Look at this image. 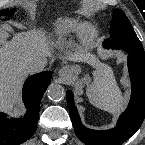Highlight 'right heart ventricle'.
I'll return each instance as SVG.
<instances>
[{
    "label": "right heart ventricle",
    "mask_w": 145,
    "mask_h": 145,
    "mask_svg": "<svg viewBox=\"0 0 145 145\" xmlns=\"http://www.w3.org/2000/svg\"><path fill=\"white\" fill-rule=\"evenodd\" d=\"M91 30L88 23L68 19L59 24L57 35L60 40H66L78 34H89Z\"/></svg>",
    "instance_id": "1"
}]
</instances>
